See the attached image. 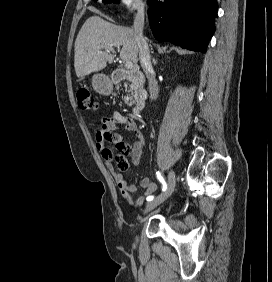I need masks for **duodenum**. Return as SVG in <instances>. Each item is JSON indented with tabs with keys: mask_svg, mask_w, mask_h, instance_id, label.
<instances>
[{
	"mask_svg": "<svg viewBox=\"0 0 272 282\" xmlns=\"http://www.w3.org/2000/svg\"><path fill=\"white\" fill-rule=\"evenodd\" d=\"M123 80H132L137 85L142 86L144 83L145 77L144 74L139 69H132L128 71H116L112 74L111 82L120 83ZM147 99V92L144 89H140L137 92L136 99L133 103L131 114H139L145 107V102Z\"/></svg>",
	"mask_w": 272,
	"mask_h": 282,
	"instance_id": "410a0bca",
	"label": "duodenum"
}]
</instances>
